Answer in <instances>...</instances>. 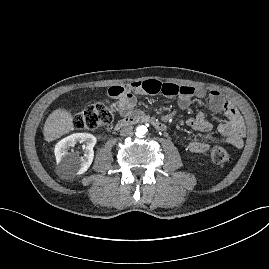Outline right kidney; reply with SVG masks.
Returning <instances> with one entry per match:
<instances>
[{
    "label": "right kidney",
    "mask_w": 269,
    "mask_h": 269,
    "mask_svg": "<svg viewBox=\"0 0 269 269\" xmlns=\"http://www.w3.org/2000/svg\"><path fill=\"white\" fill-rule=\"evenodd\" d=\"M78 142L83 143V156L68 152V149ZM95 144L96 138L89 133H75L58 142L54 153L61 173L65 176L85 173L92 164Z\"/></svg>",
    "instance_id": "obj_1"
}]
</instances>
